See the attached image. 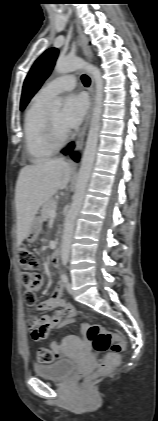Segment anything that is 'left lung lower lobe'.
I'll list each match as a JSON object with an SVG mask.
<instances>
[{
  "instance_id": "obj_1",
  "label": "left lung lower lobe",
  "mask_w": 158,
  "mask_h": 421,
  "mask_svg": "<svg viewBox=\"0 0 158 421\" xmlns=\"http://www.w3.org/2000/svg\"><path fill=\"white\" fill-rule=\"evenodd\" d=\"M73 146L69 147L65 151H63L64 154H68L72 150Z\"/></svg>"
}]
</instances>
